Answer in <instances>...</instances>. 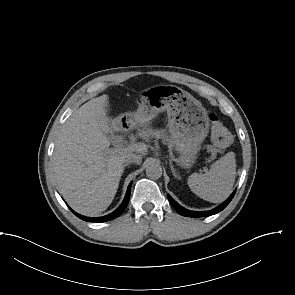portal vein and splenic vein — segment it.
Wrapping results in <instances>:
<instances>
[{"mask_svg": "<svg viewBox=\"0 0 295 295\" xmlns=\"http://www.w3.org/2000/svg\"><path fill=\"white\" fill-rule=\"evenodd\" d=\"M139 148V144L132 143L131 145L125 147L124 145H120L117 148L110 150L112 153H123L128 151H135Z\"/></svg>", "mask_w": 295, "mask_h": 295, "instance_id": "portal-vein-and-splenic-vein-1", "label": "portal vein and splenic vein"}]
</instances>
